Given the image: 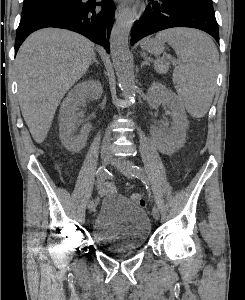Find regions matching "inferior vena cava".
<instances>
[{"label": "inferior vena cava", "mask_w": 245, "mask_h": 300, "mask_svg": "<svg viewBox=\"0 0 245 300\" xmlns=\"http://www.w3.org/2000/svg\"><path fill=\"white\" fill-rule=\"evenodd\" d=\"M110 143H111V132L107 131L103 140L102 150L103 151L108 150Z\"/></svg>", "instance_id": "1"}]
</instances>
